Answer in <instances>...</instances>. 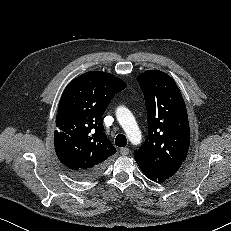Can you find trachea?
Segmentation results:
<instances>
[{"instance_id": "1", "label": "trachea", "mask_w": 231, "mask_h": 231, "mask_svg": "<svg viewBox=\"0 0 231 231\" xmlns=\"http://www.w3.org/2000/svg\"><path fill=\"white\" fill-rule=\"evenodd\" d=\"M115 144L118 147H125L127 145V138L123 134H118L115 138Z\"/></svg>"}]
</instances>
